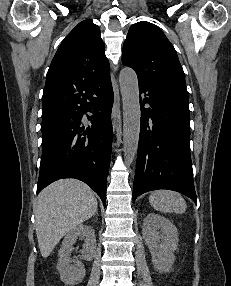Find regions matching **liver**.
I'll use <instances>...</instances> for the list:
<instances>
[{
    "instance_id": "obj_1",
    "label": "liver",
    "mask_w": 231,
    "mask_h": 286,
    "mask_svg": "<svg viewBox=\"0 0 231 286\" xmlns=\"http://www.w3.org/2000/svg\"><path fill=\"white\" fill-rule=\"evenodd\" d=\"M34 211L39 249L46 258L63 236L95 214L97 199L82 181L61 179L40 192Z\"/></svg>"
}]
</instances>
